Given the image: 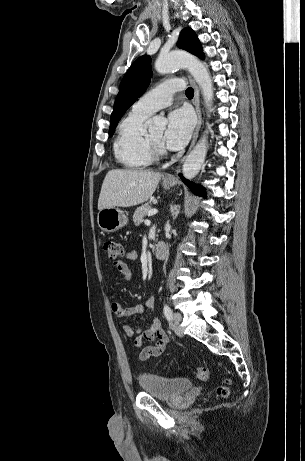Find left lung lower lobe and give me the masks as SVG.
<instances>
[{
    "label": "left lung lower lobe",
    "instance_id": "1",
    "mask_svg": "<svg viewBox=\"0 0 305 461\" xmlns=\"http://www.w3.org/2000/svg\"><path fill=\"white\" fill-rule=\"evenodd\" d=\"M179 176L181 177L182 181L192 189V192H194L196 195L204 196V189L201 186L193 185V183L186 180L183 176Z\"/></svg>",
    "mask_w": 305,
    "mask_h": 461
}]
</instances>
